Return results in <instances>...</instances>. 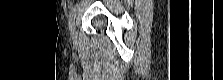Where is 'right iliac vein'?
Listing matches in <instances>:
<instances>
[{"label": "right iliac vein", "mask_w": 223, "mask_h": 80, "mask_svg": "<svg viewBox=\"0 0 223 80\" xmlns=\"http://www.w3.org/2000/svg\"><path fill=\"white\" fill-rule=\"evenodd\" d=\"M72 38L75 39L76 38V33H75V26H73V31H72Z\"/></svg>", "instance_id": "63e3f726"}]
</instances>
